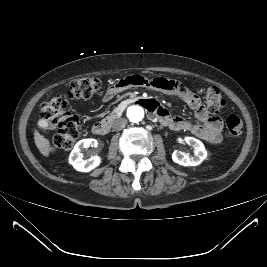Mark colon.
Wrapping results in <instances>:
<instances>
[{
	"mask_svg": "<svg viewBox=\"0 0 267 267\" xmlns=\"http://www.w3.org/2000/svg\"><path fill=\"white\" fill-rule=\"evenodd\" d=\"M101 89V81L94 77L79 78L66 86V94L56 95L45 100L40 107V117L57 128L52 148L55 151L69 150L81 134V124L68 106L69 99L87 100ZM207 109L212 113L219 112L225 106V99L218 88L208 87L204 93ZM229 134L237 138L242 134L243 121L240 116L231 114L226 119Z\"/></svg>",
	"mask_w": 267,
	"mask_h": 267,
	"instance_id": "obj_1",
	"label": "colon"
}]
</instances>
